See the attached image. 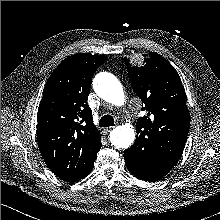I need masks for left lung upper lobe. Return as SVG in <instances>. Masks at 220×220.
I'll use <instances>...</instances> for the list:
<instances>
[{
  "mask_svg": "<svg viewBox=\"0 0 220 220\" xmlns=\"http://www.w3.org/2000/svg\"><path fill=\"white\" fill-rule=\"evenodd\" d=\"M142 66H131L128 76L141 99L147 116L139 117L134 145L141 154H151L172 162L179 160L189 132L190 115L186 93L174 67L161 55L144 54Z\"/></svg>",
  "mask_w": 220,
  "mask_h": 220,
  "instance_id": "5c2ea615",
  "label": "left lung upper lobe"
}]
</instances>
